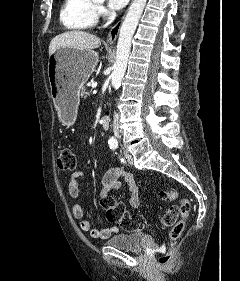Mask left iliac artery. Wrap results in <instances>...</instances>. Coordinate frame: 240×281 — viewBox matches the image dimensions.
Returning a JSON list of instances; mask_svg holds the SVG:
<instances>
[{
    "instance_id": "obj_1",
    "label": "left iliac artery",
    "mask_w": 240,
    "mask_h": 281,
    "mask_svg": "<svg viewBox=\"0 0 240 281\" xmlns=\"http://www.w3.org/2000/svg\"><path fill=\"white\" fill-rule=\"evenodd\" d=\"M121 162H122V163H125V160H124V158H121Z\"/></svg>"
}]
</instances>
